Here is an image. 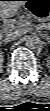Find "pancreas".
<instances>
[{
    "mask_svg": "<svg viewBox=\"0 0 50 111\" xmlns=\"http://www.w3.org/2000/svg\"><path fill=\"white\" fill-rule=\"evenodd\" d=\"M24 23H25V21L21 19V20H20V24H21V25H24ZM9 24L11 25L12 23H9Z\"/></svg>",
    "mask_w": 50,
    "mask_h": 111,
    "instance_id": "cf45deb5",
    "label": "pancreas"
}]
</instances>
